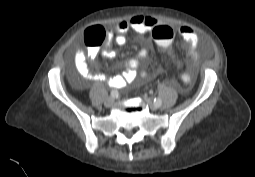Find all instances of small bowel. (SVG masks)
I'll return each mask as SVG.
<instances>
[{
  "instance_id": "obj_1",
  "label": "small bowel",
  "mask_w": 255,
  "mask_h": 177,
  "mask_svg": "<svg viewBox=\"0 0 255 177\" xmlns=\"http://www.w3.org/2000/svg\"><path fill=\"white\" fill-rule=\"evenodd\" d=\"M158 24L159 21L157 19L142 15L133 16L128 20L118 22L116 26L118 33L116 35L111 30L107 31L106 44L102 50V56L105 59L112 58L114 55L112 43L115 42L119 46L124 45L126 43V34L129 31L144 34L150 32ZM176 30L180 37L188 43L191 55H195L199 44V38L196 32L188 26H178ZM151 50L152 45L146 42L140 48L138 56L125 63V71L111 77H107L100 72H93L87 62L88 59L95 60L97 58L99 54L98 48H90L87 51L77 50L73 58L74 66L79 75L88 81L107 83L115 88H122L128 85L138 86L150 77L148 71L140 70V61L146 58Z\"/></svg>"
}]
</instances>
